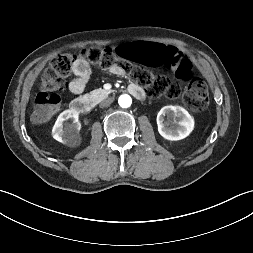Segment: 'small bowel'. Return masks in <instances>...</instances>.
<instances>
[{"mask_svg":"<svg viewBox=\"0 0 253 253\" xmlns=\"http://www.w3.org/2000/svg\"><path fill=\"white\" fill-rule=\"evenodd\" d=\"M169 47L175 48L173 46ZM110 72L118 76H121L124 73L117 66L111 67ZM89 78H90V67L88 62L83 58H78L73 65V75L69 82L70 91L77 95L82 94L87 82L89 81Z\"/></svg>","mask_w":253,"mask_h":253,"instance_id":"obj_1","label":"small bowel"}]
</instances>
